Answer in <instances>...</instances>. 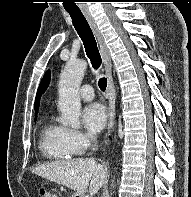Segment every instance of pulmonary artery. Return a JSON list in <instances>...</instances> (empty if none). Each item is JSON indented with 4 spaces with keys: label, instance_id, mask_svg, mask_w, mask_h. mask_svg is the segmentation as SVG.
Instances as JSON below:
<instances>
[{
    "label": "pulmonary artery",
    "instance_id": "obj_1",
    "mask_svg": "<svg viewBox=\"0 0 191 197\" xmlns=\"http://www.w3.org/2000/svg\"><path fill=\"white\" fill-rule=\"evenodd\" d=\"M79 93L81 98L85 101H91L94 98V91L90 85H83Z\"/></svg>",
    "mask_w": 191,
    "mask_h": 197
}]
</instances>
